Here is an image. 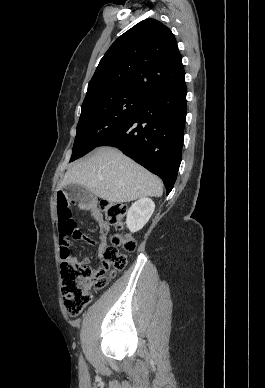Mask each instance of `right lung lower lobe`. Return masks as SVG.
<instances>
[{
	"label": "right lung lower lobe",
	"mask_w": 265,
	"mask_h": 388,
	"mask_svg": "<svg viewBox=\"0 0 265 388\" xmlns=\"http://www.w3.org/2000/svg\"><path fill=\"white\" fill-rule=\"evenodd\" d=\"M186 94L184 78L151 90L137 110L98 144L119 148L158 175L167 195L173 189L182 159Z\"/></svg>",
	"instance_id": "98d812e1"
}]
</instances>
